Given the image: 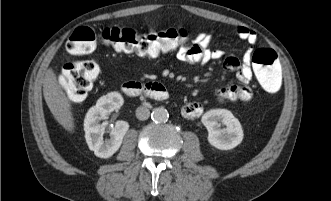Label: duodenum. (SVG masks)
<instances>
[{
  "label": "duodenum",
  "instance_id": "duodenum-1",
  "mask_svg": "<svg viewBox=\"0 0 331 201\" xmlns=\"http://www.w3.org/2000/svg\"><path fill=\"white\" fill-rule=\"evenodd\" d=\"M121 92L129 97L146 96L155 101H166L169 94L163 84L158 82L141 83L129 81L121 86Z\"/></svg>",
  "mask_w": 331,
  "mask_h": 201
}]
</instances>
